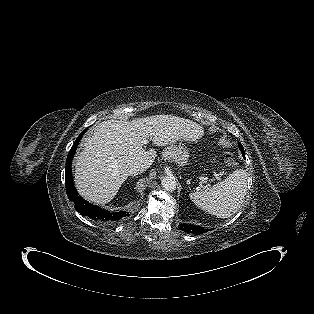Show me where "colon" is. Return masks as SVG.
<instances>
[{
  "mask_svg": "<svg viewBox=\"0 0 314 314\" xmlns=\"http://www.w3.org/2000/svg\"><path fill=\"white\" fill-rule=\"evenodd\" d=\"M226 162L230 165H234L235 164V158L234 155L232 153H228L226 155Z\"/></svg>",
  "mask_w": 314,
  "mask_h": 314,
  "instance_id": "colon-1",
  "label": "colon"
}]
</instances>
